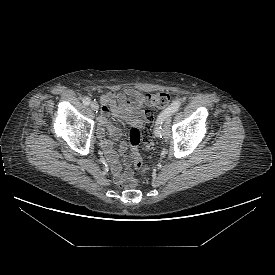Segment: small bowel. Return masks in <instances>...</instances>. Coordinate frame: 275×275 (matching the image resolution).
<instances>
[{
  "label": "small bowel",
  "instance_id": "c3829d8e",
  "mask_svg": "<svg viewBox=\"0 0 275 275\" xmlns=\"http://www.w3.org/2000/svg\"><path fill=\"white\" fill-rule=\"evenodd\" d=\"M100 103L101 115L99 118L98 135L106 157L110 162L113 177L120 184L124 179L130 177L131 171L126 170L124 173L121 171V165L113 145V141L120 137L121 132L118 127L110 123L109 117L113 116L118 120H124L130 124L144 127L146 122L145 114L147 112L145 98L140 91L128 87L118 94L110 92L103 95L100 98ZM126 150V143H120L118 151L125 153ZM132 160L131 155L126 157L127 164H130Z\"/></svg>",
  "mask_w": 275,
  "mask_h": 275
}]
</instances>
